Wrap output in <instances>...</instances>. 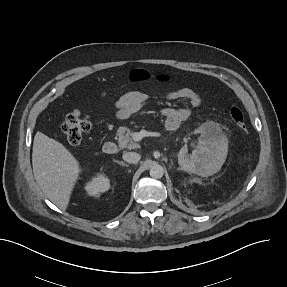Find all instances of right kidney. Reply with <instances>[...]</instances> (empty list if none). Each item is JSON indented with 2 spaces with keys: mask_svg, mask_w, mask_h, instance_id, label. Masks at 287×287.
<instances>
[{
  "mask_svg": "<svg viewBox=\"0 0 287 287\" xmlns=\"http://www.w3.org/2000/svg\"><path fill=\"white\" fill-rule=\"evenodd\" d=\"M110 189V180L103 174H99L94 177L85 186V190L88 195L98 197L101 193H104Z\"/></svg>",
  "mask_w": 287,
  "mask_h": 287,
  "instance_id": "1",
  "label": "right kidney"
}]
</instances>
